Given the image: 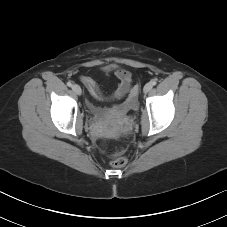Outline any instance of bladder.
<instances>
[{"instance_id": "31cf9c89", "label": "bladder", "mask_w": 227, "mask_h": 227, "mask_svg": "<svg viewBox=\"0 0 227 227\" xmlns=\"http://www.w3.org/2000/svg\"><path fill=\"white\" fill-rule=\"evenodd\" d=\"M92 115H94L98 119H104L108 116V111L99 107L90 106L89 108Z\"/></svg>"}]
</instances>
